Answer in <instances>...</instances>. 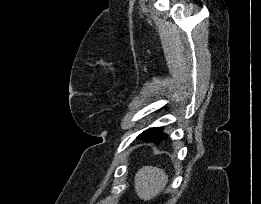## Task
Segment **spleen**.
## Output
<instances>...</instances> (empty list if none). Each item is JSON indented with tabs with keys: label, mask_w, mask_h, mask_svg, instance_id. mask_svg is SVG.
<instances>
[{
	"label": "spleen",
	"mask_w": 261,
	"mask_h": 204,
	"mask_svg": "<svg viewBox=\"0 0 261 204\" xmlns=\"http://www.w3.org/2000/svg\"><path fill=\"white\" fill-rule=\"evenodd\" d=\"M168 176L163 169L143 166L135 176V189L140 199L148 201L156 197L165 187Z\"/></svg>",
	"instance_id": "3e777b00"
}]
</instances>
